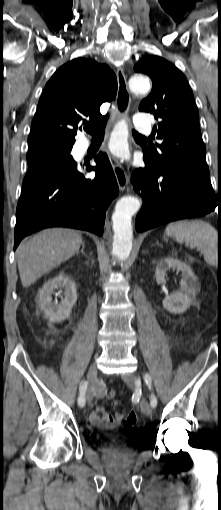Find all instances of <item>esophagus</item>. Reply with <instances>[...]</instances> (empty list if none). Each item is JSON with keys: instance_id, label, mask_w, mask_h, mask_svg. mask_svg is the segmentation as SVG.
I'll list each match as a JSON object with an SVG mask.
<instances>
[{"instance_id": "34e87169", "label": "esophagus", "mask_w": 221, "mask_h": 510, "mask_svg": "<svg viewBox=\"0 0 221 510\" xmlns=\"http://www.w3.org/2000/svg\"><path fill=\"white\" fill-rule=\"evenodd\" d=\"M118 89L116 95V106L114 111V120L119 121L125 117L128 113L130 106V94L128 91L127 81L124 71L121 67L117 68L116 71ZM109 160L115 174L118 186L121 191L128 190V176L121 163L109 155Z\"/></svg>"}]
</instances>
